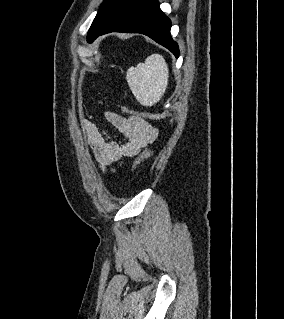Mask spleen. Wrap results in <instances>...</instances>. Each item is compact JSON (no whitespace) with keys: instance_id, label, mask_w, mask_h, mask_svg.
I'll use <instances>...</instances> for the list:
<instances>
[{"instance_id":"1","label":"spleen","mask_w":284,"mask_h":319,"mask_svg":"<svg viewBox=\"0 0 284 319\" xmlns=\"http://www.w3.org/2000/svg\"><path fill=\"white\" fill-rule=\"evenodd\" d=\"M168 78V66L160 54L148 56L144 63L130 67L126 73L133 95L144 106H152L161 99L166 91Z\"/></svg>"}]
</instances>
